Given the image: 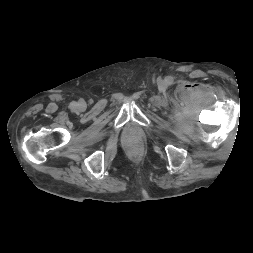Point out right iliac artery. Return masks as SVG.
Here are the masks:
<instances>
[{
  "instance_id": "right-iliac-artery-1",
  "label": "right iliac artery",
  "mask_w": 253,
  "mask_h": 253,
  "mask_svg": "<svg viewBox=\"0 0 253 253\" xmlns=\"http://www.w3.org/2000/svg\"><path fill=\"white\" fill-rule=\"evenodd\" d=\"M70 105H71V107H73V108L76 106L75 102H72Z\"/></svg>"
}]
</instances>
